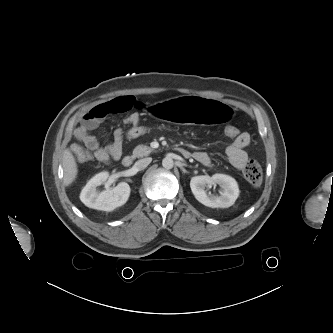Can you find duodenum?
Here are the masks:
<instances>
[{"label": "duodenum", "mask_w": 333, "mask_h": 333, "mask_svg": "<svg viewBox=\"0 0 333 333\" xmlns=\"http://www.w3.org/2000/svg\"><path fill=\"white\" fill-rule=\"evenodd\" d=\"M179 151L184 155V156H189V153L184 150V149H179ZM133 162V158L131 156H126L122 160V164L125 167H129Z\"/></svg>", "instance_id": "1"}]
</instances>
